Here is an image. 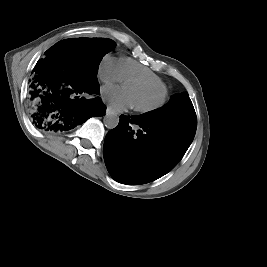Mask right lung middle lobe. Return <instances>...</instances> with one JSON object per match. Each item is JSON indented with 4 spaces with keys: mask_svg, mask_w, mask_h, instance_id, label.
Segmentation results:
<instances>
[{
    "mask_svg": "<svg viewBox=\"0 0 267 267\" xmlns=\"http://www.w3.org/2000/svg\"><path fill=\"white\" fill-rule=\"evenodd\" d=\"M114 48L115 42L107 38H71L56 43L46 55L61 62L79 80L96 83L102 58Z\"/></svg>",
    "mask_w": 267,
    "mask_h": 267,
    "instance_id": "1",
    "label": "right lung middle lobe"
}]
</instances>
